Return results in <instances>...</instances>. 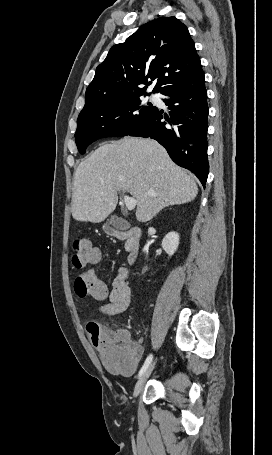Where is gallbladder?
Here are the masks:
<instances>
[{"label":"gallbladder","instance_id":"obj_1","mask_svg":"<svg viewBox=\"0 0 272 455\" xmlns=\"http://www.w3.org/2000/svg\"><path fill=\"white\" fill-rule=\"evenodd\" d=\"M110 223H112L116 228L121 230H126L130 227V225L125 220H122L121 218H118L116 216L111 218Z\"/></svg>","mask_w":272,"mask_h":455}]
</instances>
